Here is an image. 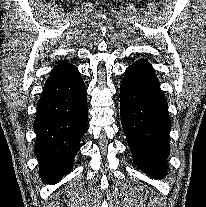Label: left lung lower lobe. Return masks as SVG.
<instances>
[{
	"instance_id": "0a47b994",
	"label": "left lung lower lobe",
	"mask_w": 206,
	"mask_h": 207,
	"mask_svg": "<svg viewBox=\"0 0 206 207\" xmlns=\"http://www.w3.org/2000/svg\"><path fill=\"white\" fill-rule=\"evenodd\" d=\"M120 113L136 166L153 178L163 177L171 121L166 98L146 60L139 59L126 69L120 86Z\"/></svg>"
}]
</instances>
